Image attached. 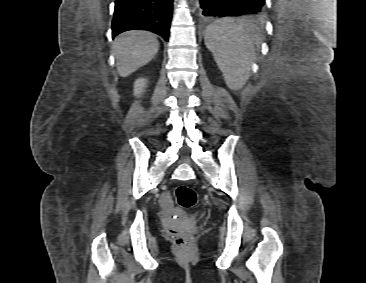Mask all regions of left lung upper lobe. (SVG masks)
<instances>
[{"label": "left lung upper lobe", "instance_id": "1", "mask_svg": "<svg viewBox=\"0 0 366 283\" xmlns=\"http://www.w3.org/2000/svg\"><path fill=\"white\" fill-rule=\"evenodd\" d=\"M262 16H263V12L260 14L254 15L255 18H262Z\"/></svg>", "mask_w": 366, "mask_h": 283}]
</instances>
